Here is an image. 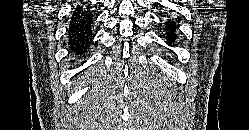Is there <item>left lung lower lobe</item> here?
Wrapping results in <instances>:
<instances>
[{"label": "left lung lower lobe", "instance_id": "1", "mask_svg": "<svg viewBox=\"0 0 249 130\" xmlns=\"http://www.w3.org/2000/svg\"><path fill=\"white\" fill-rule=\"evenodd\" d=\"M176 25L177 23L167 16V20L165 22V28H166V39L169 43H173L176 39Z\"/></svg>", "mask_w": 249, "mask_h": 130}]
</instances>
